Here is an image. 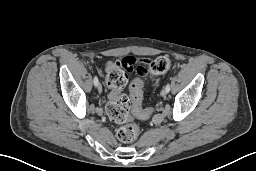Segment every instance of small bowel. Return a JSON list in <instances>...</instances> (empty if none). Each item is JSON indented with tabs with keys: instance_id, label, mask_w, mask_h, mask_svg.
<instances>
[{
	"instance_id": "c3829d8e",
	"label": "small bowel",
	"mask_w": 256,
	"mask_h": 171,
	"mask_svg": "<svg viewBox=\"0 0 256 171\" xmlns=\"http://www.w3.org/2000/svg\"><path fill=\"white\" fill-rule=\"evenodd\" d=\"M147 63L148 61L145 59L130 55L124 57L121 61L108 62L105 65V71L109 74L112 70L121 68L125 72L135 71L139 75H147L149 73V69L146 66ZM148 115L139 116V118L146 119Z\"/></svg>"
}]
</instances>
